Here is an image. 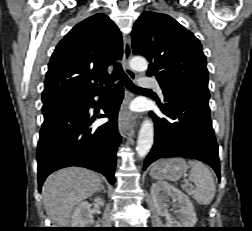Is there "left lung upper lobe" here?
<instances>
[{"mask_svg": "<svg viewBox=\"0 0 252 231\" xmlns=\"http://www.w3.org/2000/svg\"><path fill=\"white\" fill-rule=\"evenodd\" d=\"M132 49L148 59L147 75L156 77L163 92L183 85L209 91L201 43L172 17L155 12L140 15L132 31Z\"/></svg>", "mask_w": 252, "mask_h": 231, "instance_id": "obj_1", "label": "left lung upper lobe"}]
</instances>
